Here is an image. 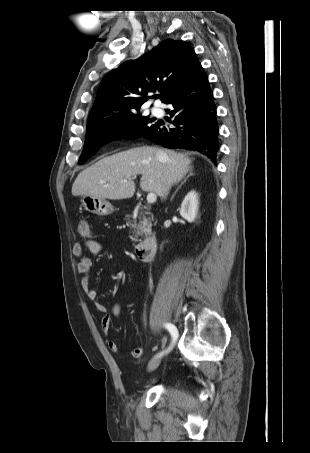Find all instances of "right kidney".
Masks as SVG:
<instances>
[{
  "mask_svg": "<svg viewBox=\"0 0 310 453\" xmlns=\"http://www.w3.org/2000/svg\"><path fill=\"white\" fill-rule=\"evenodd\" d=\"M198 204V194L195 191L189 192L181 204L180 215L188 222H193L197 216Z\"/></svg>",
  "mask_w": 310,
  "mask_h": 453,
  "instance_id": "1",
  "label": "right kidney"
}]
</instances>
